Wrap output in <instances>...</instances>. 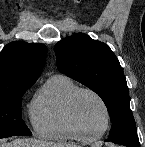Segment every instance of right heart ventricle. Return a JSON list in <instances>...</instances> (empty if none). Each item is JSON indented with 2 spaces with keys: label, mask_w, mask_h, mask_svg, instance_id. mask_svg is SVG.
I'll list each match as a JSON object with an SVG mask.
<instances>
[{
  "label": "right heart ventricle",
  "mask_w": 145,
  "mask_h": 147,
  "mask_svg": "<svg viewBox=\"0 0 145 147\" xmlns=\"http://www.w3.org/2000/svg\"><path fill=\"white\" fill-rule=\"evenodd\" d=\"M78 88L65 75L51 76L31 107V119L36 134L48 140L66 142L85 140L70 123L66 103Z\"/></svg>",
  "instance_id": "right-heart-ventricle-1"
}]
</instances>
